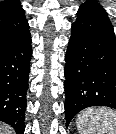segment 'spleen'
<instances>
[{
	"label": "spleen",
	"mask_w": 116,
	"mask_h": 134,
	"mask_svg": "<svg viewBox=\"0 0 116 134\" xmlns=\"http://www.w3.org/2000/svg\"><path fill=\"white\" fill-rule=\"evenodd\" d=\"M78 134H116V111L88 108L76 120Z\"/></svg>",
	"instance_id": "obj_1"
}]
</instances>
